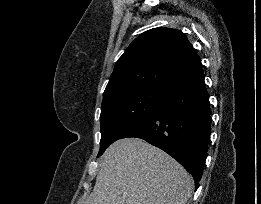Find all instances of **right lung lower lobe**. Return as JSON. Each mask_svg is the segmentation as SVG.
<instances>
[{
    "label": "right lung lower lobe",
    "instance_id": "98d812e1",
    "mask_svg": "<svg viewBox=\"0 0 261 204\" xmlns=\"http://www.w3.org/2000/svg\"><path fill=\"white\" fill-rule=\"evenodd\" d=\"M211 132L209 94L201 69L169 89L164 98L120 137H136L177 160L199 187Z\"/></svg>",
    "mask_w": 261,
    "mask_h": 204
}]
</instances>
